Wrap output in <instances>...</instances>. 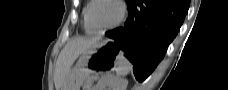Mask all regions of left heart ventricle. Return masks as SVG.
<instances>
[{"instance_id": "b2bd125f", "label": "left heart ventricle", "mask_w": 228, "mask_h": 90, "mask_svg": "<svg viewBox=\"0 0 228 90\" xmlns=\"http://www.w3.org/2000/svg\"><path fill=\"white\" fill-rule=\"evenodd\" d=\"M119 16L118 6L108 0L98 1L92 10V21L96 28H105L116 21Z\"/></svg>"}]
</instances>
